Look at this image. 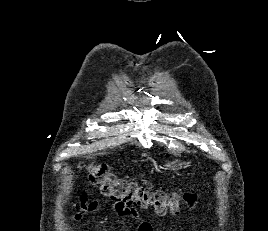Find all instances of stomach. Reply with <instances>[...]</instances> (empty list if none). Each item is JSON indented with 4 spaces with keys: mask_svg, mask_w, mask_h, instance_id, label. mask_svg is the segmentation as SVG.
<instances>
[{
    "mask_svg": "<svg viewBox=\"0 0 268 231\" xmlns=\"http://www.w3.org/2000/svg\"><path fill=\"white\" fill-rule=\"evenodd\" d=\"M190 165V162H186L181 159H175V160H166L164 164V169L178 172L179 170L185 169Z\"/></svg>",
    "mask_w": 268,
    "mask_h": 231,
    "instance_id": "1",
    "label": "stomach"
}]
</instances>
